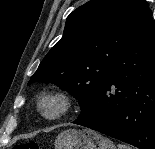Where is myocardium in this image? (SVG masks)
I'll use <instances>...</instances> for the list:
<instances>
[{"instance_id": "myocardium-1", "label": "myocardium", "mask_w": 155, "mask_h": 149, "mask_svg": "<svg viewBox=\"0 0 155 149\" xmlns=\"http://www.w3.org/2000/svg\"><path fill=\"white\" fill-rule=\"evenodd\" d=\"M75 99L67 91L50 90L42 93L37 100V110L46 120L54 121L67 116L74 107ZM48 104L56 105V110L50 112L46 106Z\"/></svg>"}]
</instances>
